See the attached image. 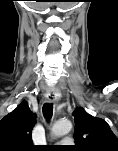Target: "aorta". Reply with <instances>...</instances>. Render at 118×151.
<instances>
[{
    "label": "aorta",
    "mask_w": 118,
    "mask_h": 151,
    "mask_svg": "<svg viewBox=\"0 0 118 151\" xmlns=\"http://www.w3.org/2000/svg\"><path fill=\"white\" fill-rule=\"evenodd\" d=\"M72 129V123L67 119L58 120L52 127V134L60 137L69 133Z\"/></svg>",
    "instance_id": "aorta-1"
}]
</instances>
